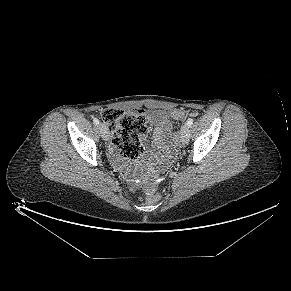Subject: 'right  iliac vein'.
Here are the masks:
<instances>
[{
    "instance_id": "obj_1",
    "label": "right iliac vein",
    "mask_w": 291,
    "mask_h": 291,
    "mask_svg": "<svg viewBox=\"0 0 291 291\" xmlns=\"http://www.w3.org/2000/svg\"><path fill=\"white\" fill-rule=\"evenodd\" d=\"M99 130H100V134H101V137L104 139V140H108V129L107 127L104 125V124H99Z\"/></svg>"
}]
</instances>
